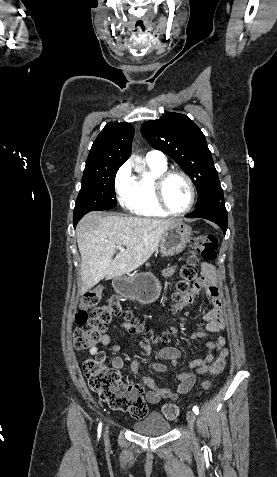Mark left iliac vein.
Here are the masks:
<instances>
[{
	"mask_svg": "<svg viewBox=\"0 0 277 477\" xmlns=\"http://www.w3.org/2000/svg\"><path fill=\"white\" fill-rule=\"evenodd\" d=\"M186 418H187V422H188V426H189V429H190V432H191V439L193 442H195L196 438H195V435H194V423H195V420H196V416L194 414V412L192 411H188L187 412V415H186Z\"/></svg>",
	"mask_w": 277,
	"mask_h": 477,
	"instance_id": "left-iliac-vein-1",
	"label": "left iliac vein"
}]
</instances>
